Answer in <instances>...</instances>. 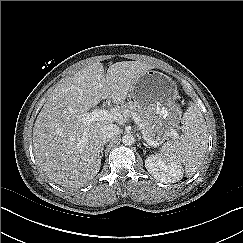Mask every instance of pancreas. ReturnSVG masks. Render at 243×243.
Instances as JSON below:
<instances>
[{"mask_svg":"<svg viewBox=\"0 0 243 243\" xmlns=\"http://www.w3.org/2000/svg\"><path fill=\"white\" fill-rule=\"evenodd\" d=\"M120 113L125 117H137L139 119V123L143 126V131L147 138H150L151 140L155 139L152 122L146 112L137 108V106L132 103H127L122 105Z\"/></svg>","mask_w":243,"mask_h":243,"instance_id":"obj_1","label":"pancreas"}]
</instances>
